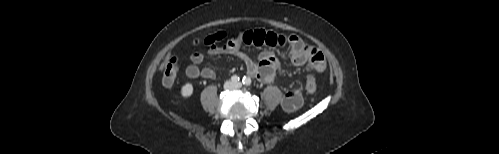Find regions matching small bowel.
Masks as SVG:
<instances>
[{
	"instance_id": "obj_1",
	"label": "small bowel",
	"mask_w": 499,
	"mask_h": 154,
	"mask_svg": "<svg viewBox=\"0 0 499 154\" xmlns=\"http://www.w3.org/2000/svg\"><path fill=\"white\" fill-rule=\"evenodd\" d=\"M204 43L207 46L208 55H236L245 62L249 75L265 83L274 81L276 77L278 60L270 48L277 45H287L289 47L290 58L294 65L308 64L318 73H322L326 69V60L321 50L314 45L305 43L296 35L284 36L257 28L244 30L236 36L228 38L224 31H219L207 36ZM245 45L266 46L269 49L263 50L259 57L254 60L241 51V48ZM190 60L191 64L185 70L187 77L192 79L202 77L209 80L216 78L213 69L199 67L204 60V55L201 52H193ZM302 104L303 98L299 88L291 89L282 99V107L287 112L298 110Z\"/></svg>"
}]
</instances>
